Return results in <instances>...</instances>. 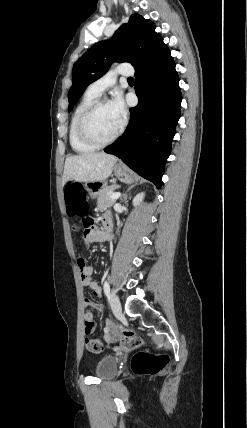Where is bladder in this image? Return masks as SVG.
Instances as JSON below:
<instances>
[{
    "mask_svg": "<svg viewBox=\"0 0 247 428\" xmlns=\"http://www.w3.org/2000/svg\"><path fill=\"white\" fill-rule=\"evenodd\" d=\"M116 372L117 360L112 355H104L101 357L95 367V375L102 380L113 378Z\"/></svg>",
    "mask_w": 247,
    "mask_h": 428,
    "instance_id": "bladder-1",
    "label": "bladder"
}]
</instances>
